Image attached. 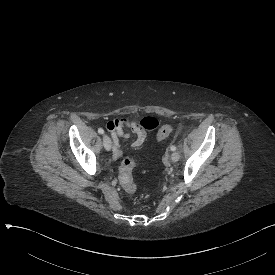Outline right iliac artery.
<instances>
[{
  "instance_id": "1",
  "label": "right iliac artery",
  "mask_w": 275,
  "mask_h": 275,
  "mask_svg": "<svg viewBox=\"0 0 275 275\" xmlns=\"http://www.w3.org/2000/svg\"><path fill=\"white\" fill-rule=\"evenodd\" d=\"M98 133H99V134H104V130H103L102 128H99V129H98Z\"/></svg>"
}]
</instances>
